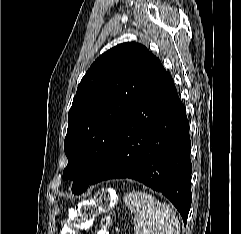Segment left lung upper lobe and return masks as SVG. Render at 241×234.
I'll use <instances>...</instances> for the list:
<instances>
[{
  "label": "left lung upper lobe",
  "mask_w": 241,
  "mask_h": 234,
  "mask_svg": "<svg viewBox=\"0 0 241 234\" xmlns=\"http://www.w3.org/2000/svg\"><path fill=\"white\" fill-rule=\"evenodd\" d=\"M161 62L138 43L119 44L91 65L68 113L63 179L81 194L103 163L123 121Z\"/></svg>",
  "instance_id": "left-lung-upper-lobe-1"
}]
</instances>
